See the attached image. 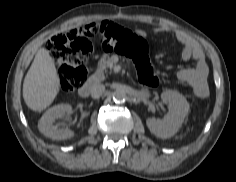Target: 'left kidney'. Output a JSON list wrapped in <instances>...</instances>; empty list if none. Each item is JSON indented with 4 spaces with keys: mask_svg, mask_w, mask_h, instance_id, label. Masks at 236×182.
Returning a JSON list of instances; mask_svg holds the SVG:
<instances>
[{
    "mask_svg": "<svg viewBox=\"0 0 236 182\" xmlns=\"http://www.w3.org/2000/svg\"><path fill=\"white\" fill-rule=\"evenodd\" d=\"M163 102L168 103L169 113L164 119L148 118L147 127L155 136L167 139L172 137L181 127L189 111L186 98L173 90H166L161 94Z\"/></svg>",
    "mask_w": 236,
    "mask_h": 182,
    "instance_id": "obj_1",
    "label": "left kidney"
}]
</instances>
